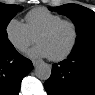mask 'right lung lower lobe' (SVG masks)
Here are the masks:
<instances>
[{"label":"right lung lower lobe","instance_id":"right-lung-lower-lobe-1","mask_svg":"<svg viewBox=\"0 0 95 95\" xmlns=\"http://www.w3.org/2000/svg\"><path fill=\"white\" fill-rule=\"evenodd\" d=\"M32 62L13 45L0 48V95H17L22 79L32 70Z\"/></svg>","mask_w":95,"mask_h":95}]
</instances>
